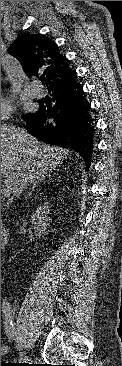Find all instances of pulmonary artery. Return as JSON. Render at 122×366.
<instances>
[{
  "label": "pulmonary artery",
  "mask_w": 122,
  "mask_h": 366,
  "mask_svg": "<svg viewBox=\"0 0 122 366\" xmlns=\"http://www.w3.org/2000/svg\"><path fill=\"white\" fill-rule=\"evenodd\" d=\"M28 90L34 97L39 98L43 96V89L38 85H31Z\"/></svg>",
  "instance_id": "obj_1"
}]
</instances>
